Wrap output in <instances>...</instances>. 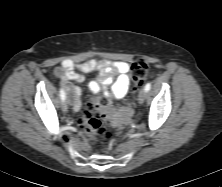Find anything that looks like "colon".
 Segmentation results:
<instances>
[{
  "mask_svg": "<svg viewBox=\"0 0 222 187\" xmlns=\"http://www.w3.org/2000/svg\"><path fill=\"white\" fill-rule=\"evenodd\" d=\"M149 70V65L144 60H137L131 65V74L135 85L140 86L144 83ZM124 117L122 113L115 111L109 99L101 95L87 107L83 116L79 119L78 124L85 132L89 141L92 143L105 142L112 145L116 142L117 135L106 131L104 126L112 123L120 126Z\"/></svg>",
  "mask_w": 222,
  "mask_h": 187,
  "instance_id": "1",
  "label": "colon"
}]
</instances>
